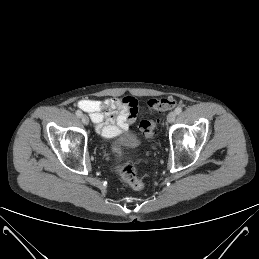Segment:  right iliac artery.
Returning a JSON list of instances; mask_svg holds the SVG:
<instances>
[{"instance_id":"82829eb1","label":"right iliac artery","mask_w":259,"mask_h":259,"mask_svg":"<svg viewBox=\"0 0 259 259\" xmlns=\"http://www.w3.org/2000/svg\"><path fill=\"white\" fill-rule=\"evenodd\" d=\"M76 115H77V117H81L82 116V112L80 110H77L76 111Z\"/></svg>"}]
</instances>
